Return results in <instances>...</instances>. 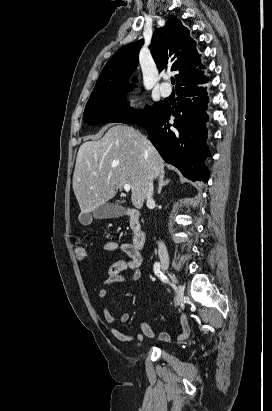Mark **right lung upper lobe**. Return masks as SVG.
<instances>
[{
    "label": "right lung upper lobe",
    "instance_id": "1",
    "mask_svg": "<svg viewBox=\"0 0 272 411\" xmlns=\"http://www.w3.org/2000/svg\"><path fill=\"white\" fill-rule=\"evenodd\" d=\"M143 42L141 39L121 48L103 68L94 90L111 85L129 84L128 79L137 67L139 50ZM195 46L189 30L176 18L168 20L164 27L157 29L153 34L150 48L155 63L160 71L169 66L171 71L179 72L176 75V89L202 77V73L195 69L200 64Z\"/></svg>",
    "mask_w": 272,
    "mask_h": 411
}]
</instances>
